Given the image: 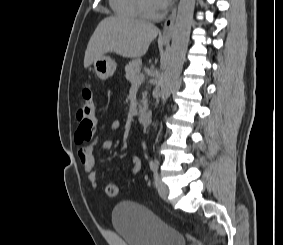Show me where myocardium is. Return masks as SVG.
Segmentation results:
<instances>
[{"label":"myocardium","instance_id":"f54148a6","mask_svg":"<svg viewBox=\"0 0 283 245\" xmlns=\"http://www.w3.org/2000/svg\"><path fill=\"white\" fill-rule=\"evenodd\" d=\"M138 9L140 15L148 19H154L162 15L163 10L160 8L159 10H150L144 0H137Z\"/></svg>","mask_w":283,"mask_h":245}]
</instances>
